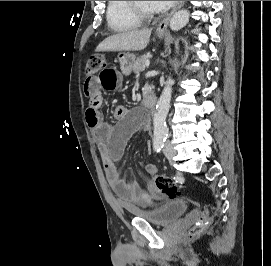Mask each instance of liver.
<instances>
[{"label":"liver","instance_id":"6515ba94","mask_svg":"<svg viewBox=\"0 0 271 266\" xmlns=\"http://www.w3.org/2000/svg\"><path fill=\"white\" fill-rule=\"evenodd\" d=\"M152 29L130 30L104 39L96 48L101 51H140L147 47Z\"/></svg>","mask_w":271,"mask_h":266}]
</instances>
